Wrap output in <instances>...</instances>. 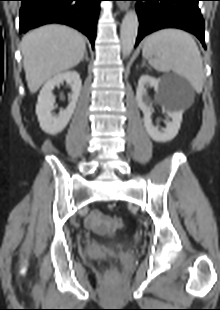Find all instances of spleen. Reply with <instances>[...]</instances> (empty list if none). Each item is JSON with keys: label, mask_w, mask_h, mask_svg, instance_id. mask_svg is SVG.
<instances>
[{"label": "spleen", "mask_w": 220, "mask_h": 310, "mask_svg": "<svg viewBox=\"0 0 220 310\" xmlns=\"http://www.w3.org/2000/svg\"><path fill=\"white\" fill-rule=\"evenodd\" d=\"M142 54L157 71H173L186 78L198 93L202 91V57L189 33L179 29H163L152 33L144 42Z\"/></svg>", "instance_id": "obj_1"}]
</instances>
